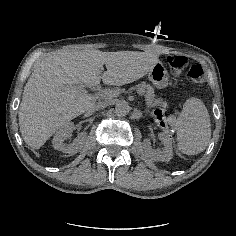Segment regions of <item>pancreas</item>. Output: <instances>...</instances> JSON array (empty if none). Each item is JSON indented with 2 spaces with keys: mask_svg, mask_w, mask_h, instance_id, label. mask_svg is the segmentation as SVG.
I'll return each mask as SVG.
<instances>
[{
  "mask_svg": "<svg viewBox=\"0 0 236 236\" xmlns=\"http://www.w3.org/2000/svg\"><path fill=\"white\" fill-rule=\"evenodd\" d=\"M124 91L125 90H120V89H109L105 91V96L103 97V99L111 102L113 98H117L118 95H120ZM137 92L140 93L141 95H144L147 107L155 108L159 105L165 104V99L156 98V95L154 93V88L150 84H147L146 82L141 83L137 87Z\"/></svg>",
  "mask_w": 236,
  "mask_h": 236,
  "instance_id": "pancreas-1",
  "label": "pancreas"
}]
</instances>
